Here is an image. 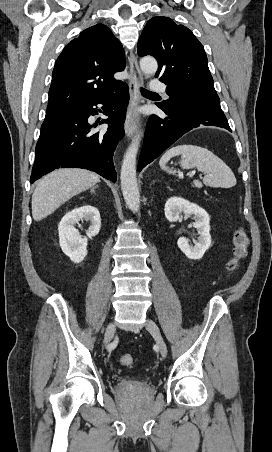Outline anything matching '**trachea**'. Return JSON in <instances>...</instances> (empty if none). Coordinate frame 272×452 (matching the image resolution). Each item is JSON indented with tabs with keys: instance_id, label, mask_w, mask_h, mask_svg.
<instances>
[{
	"instance_id": "obj_1",
	"label": "trachea",
	"mask_w": 272,
	"mask_h": 452,
	"mask_svg": "<svg viewBox=\"0 0 272 452\" xmlns=\"http://www.w3.org/2000/svg\"><path fill=\"white\" fill-rule=\"evenodd\" d=\"M141 92H142L143 95H152V94H156V93H154V92H151V91H148V90H145V89H141Z\"/></svg>"
}]
</instances>
